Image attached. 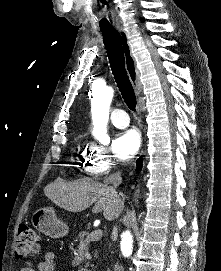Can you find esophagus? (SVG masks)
Here are the masks:
<instances>
[{
    "label": "esophagus",
    "instance_id": "esophagus-1",
    "mask_svg": "<svg viewBox=\"0 0 221 271\" xmlns=\"http://www.w3.org/2000/svg\"><path fill=\"white\" fill-rule=\"evenodd\" d=\"M117 30L122 39V47L124 50V57H125V67L128 73L129 80L136 94L140 95L141 90H142V84L140 81L139 70L136 66V60L132 54V49L129 43L128 35L125 32L124 28L122 27H118ZM138 111H141L140 105H138Z\"/></svg>",
    "mask_w": 221,
    "mask_h": 271
}]
</instances>
